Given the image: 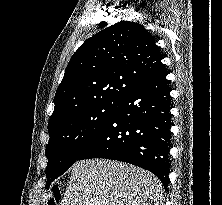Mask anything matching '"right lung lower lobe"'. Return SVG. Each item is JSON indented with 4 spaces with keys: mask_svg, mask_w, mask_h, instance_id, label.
<instances>
[{
    "mask_svg": "<svg viewBox=\"0 0 222 205\" xmlns=\"http://www.w3.org/2000/svg\"><path fill=\"white\" fill-rule=\"evenodd\" d=\"M166 70L133 88L78 160L106 158L155 174L167 188L171 147L170 88Z\"/></svg>",
    "mask_w": 222,
    "mask_h": 205,
    "instance_id": "right-lung-lower-lobe-1",
    "label": "right lung lower lobe"
}]
</instances>
